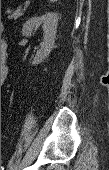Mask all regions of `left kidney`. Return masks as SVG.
<instances>
[{
    "mask_svg": "<svg viewBox=\"0 0 109 170\" xmlns=\"http://www.w3.org/2000/svg\"><path fill=\"white\" fill-rule=\"evenodd\" d=\"M58 14L55 12H49L41 16L30 18L26 21L22 28L23 36H31L33 30L39 25H43L44 39L40 43L36 56L32 62L33 65H38L50 54L54 47L55 35L58 25Z\"/></svg>",
    "mask_w": 109,
    "mask_h": 170,
    "instance_id": "5707ae66",
    "label": "left kidney"
}]
</instances>
